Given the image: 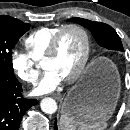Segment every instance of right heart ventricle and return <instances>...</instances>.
<instances>
[{
  "label": "right heart ventricle",
  "mask_w": 130,
  "mask_h": 130,
  "mask_svg": "<svg viewBox=\"0 0 130 130\" xmlns=\"http://www.w3.org/2000/svg\"><path fill=\"white\" fill-rule=\"evenodd\" d=\"M60 26H44L33 30L24 40L28 54L35 60L41 61L47 53L50 42Z\"/></svg>",
  "instance_id": "1"
}]
</instances>
